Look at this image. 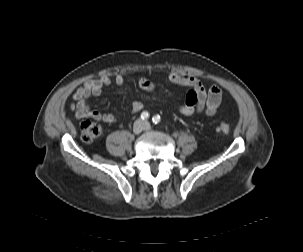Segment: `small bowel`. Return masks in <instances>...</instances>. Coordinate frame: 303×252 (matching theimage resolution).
Listing matches in <instances>:
<instances>
[{"label": "small bowel", "instance_id": "small-bowel-1", "mask_svg": "<svg viewBox=\"0 0 303 252\" xmlns=\"http://www.w3.org/2000/svg\"><path fill=\"white\" fill-rule=\"evenodd\" d=\"M169 82L176 86L188 88L185 102L179 107V113L183 116H192L205 112L208 115H214L222 102L223 92L221 88L213 84L208 91L204 88L199 78L170 71L166 74ZM124 74L118 73L114 78L104 74L96 79H88L78 87L73 93L75 103L71 105L76 118H92L96 121L109 124L113 122L114 116L110 113H100L96 108L88 104L91 96L98 95L104 87L115 83L118 86L124 84ZM139 86L146 91H154L155 84L147 77L141 76L138 80ZM143 104L140 101H134L131 105V113L141 111Z\"/></svg>", "mask_w": 303, "mask_h": 252}]
</instances>
